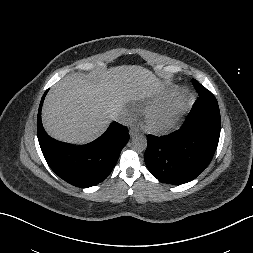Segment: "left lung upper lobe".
Instances as JSON below:
<instances>
[{"label":"left lung upper lobe","instance_id":"1","mask_svg":"<svg viewBox=\"0 0 253 253\" xmlns=\"http://www.w3.org/2000/svg\"><path fill=\"white\" fill-rule=\"evenodd\" d=\"M209 95H213L212 93L210 94V92L208 93ZM213 98V96H211Z\"/></svg>","mask_w":253,"mask_h":253}]
</instances>
